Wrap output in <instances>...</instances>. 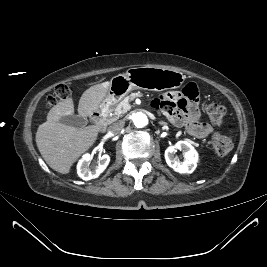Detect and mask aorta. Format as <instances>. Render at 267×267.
Segmentation results:
<instances>
[{"label": "aorta", "instance_id": "obj_1", "mask_svg": "<svg viewBox=\"0 0 267 267\" xmlns=\"http://www.w3.org/2000/svg\"><path fill=\"white\" fill-rule=\"evenodd\" d=\"M132 122H133L135 127L143 128L148 124V117L143 112H135L132 115Z\"/></svg>", "mask_w": 267, "mask_h": 267}]
</instances>
